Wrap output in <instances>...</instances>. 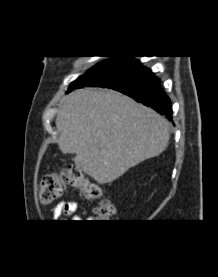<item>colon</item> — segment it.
I'll list each match as a JSON object with an SVG mask.
<instances>
[{"label": "colon", "instance_id": "colon-1", "mask_svg": "<svg viewBox=\"0 0 218 277\" xmlns=\"http://www.w3.org/2000/svg\"><path fill=\"white\" fill-rule=\"evenodd\" d=\"M66 185L79 189L89 200H100L102 195L100 187L87 180L80 169L62 166L43 176L39 186L41 203L48 205L58 200ZM94 211L99 217H110L115 213L113 204L105 199L98 202Z\"/></svg>", "mask_w": 218, "mask_h": 277}]
</instances>
